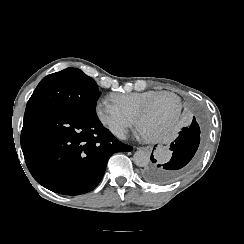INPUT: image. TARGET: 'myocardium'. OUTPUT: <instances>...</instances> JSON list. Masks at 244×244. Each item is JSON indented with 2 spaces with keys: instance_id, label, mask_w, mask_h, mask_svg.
Masks as SVG:
<instances>
[{
  "instance_id": "1",
  "label": "myocardium",
  "mask_w": 244,
  "mask_h": 244,
  "mask_svg": "<svg viewBox=\"0 0 244 244\" xmlns=\"http://www.w3.org/2000/svg\"><path fill=\"white\" fill-rule=\"evenodd\" d=\"M163 96H172L174 98L177 99L178 101V107L177 110L167 119V121L162 122L161 123V127L157 130V132H160L166 125H169L171 123L174 122V120L176 119V117L178 116V114L181 111L182 108V99L181 97L174 93V92H162V93H157L156 95L153 96V98H151L150 100H148L147 102H145L142 105L141 111L139 113V116L137 117V124L142 126H146V123L144 122V116L146 111L158 100H160Z\"/></svg>"
}]
</instances>
